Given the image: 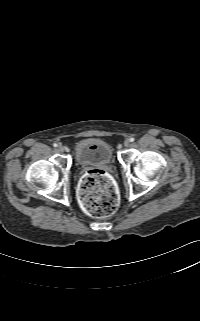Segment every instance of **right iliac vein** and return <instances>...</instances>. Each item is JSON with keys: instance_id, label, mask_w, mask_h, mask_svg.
Returning <instances> with one entry per match:
<instances>
[{"instance_id": "1", "label": "right iliac vein", "mask_w": 200, "mask_h": 321, "mask_svg": "<svg viewBox=\"0 0 200 321\" xmlns=\"http://www.w3.org/2000/svg\"><path fill=\"white\" fill-rule=\"evenodd\" d=\"M58 151H59V152H63V151H64V146L59 145V146H58Z\"/></svg>"}]
</instances>
